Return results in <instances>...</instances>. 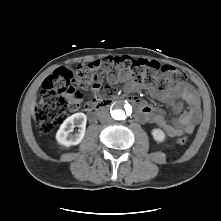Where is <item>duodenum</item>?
I'll use <instances>...</instances> for the list:
<instances>
[{"mask_svg": "<svg viewBox=\"0 0 221 221\" xmlns=\"http://www.w3.org/2000/svg\"><path fill=\"white\" fill-rule=\"evenodd\" d=\"M132 101L134 103L137 102L134 99H132ZM112 103H113L112 99L98 100L95 104H93L92 106L89 107V110H88V117H89V119L90 120H95L101 112H103L106 109L110 108Z\"/></svg>", "mask_w": 221, "mask_h": 221, "instance_id": "obj_1", "label": "duodenum"}]
</instances>
